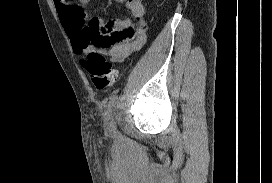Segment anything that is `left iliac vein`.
Instances as JSON below:
<instances>
[{
	"mask_svg": "<svg viewBox=\"0 0 272 183\" xmlns=\"http://www.w3.org/2000/svg\"><path fill=\"white\" fill-rule=\"evenodd\" d=\"M104 120L106 122V127L109 131L115 132L116 131V123L114 121V112L112 108H108Z\"/></svg>",
	"mask_w": 272,
	"mask_h": 183,
	"instance_id": "left-iliac-vein-1",
	"label": "left iliac vein"
}]
</instances>
